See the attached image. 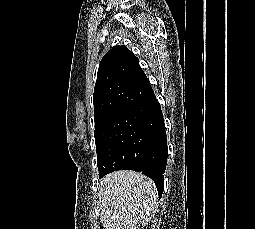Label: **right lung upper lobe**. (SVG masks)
Returning <instances> with one entry per match:
<instances>
[{
  "mask_svg": "<svg viewBox=\"0 0 255 229\" xmlns=\"http://www.w3.org/2000/svg\"><path fill=\"white\" fill-rule=\"evenodd\" d=\"M139 60L125 46H114L102 58L94 88L95 130L112 116L153 98Z\"/></svg>",
  "mask_w": 255,
  "mask_h": 229,
  "instance_id": "obj_1",
  "label": "right lung upper lobe"
}]
</instances>
